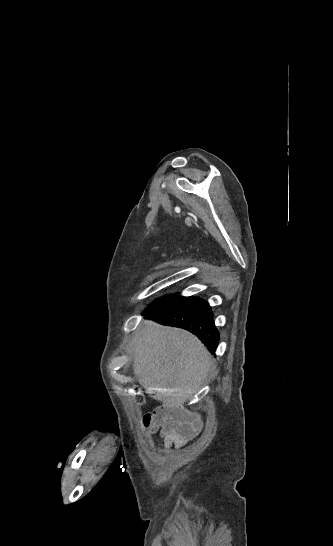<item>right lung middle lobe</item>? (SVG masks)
<instances>
[{
    "instance_id": "dd1d6c3e",
    "label": "right lung middle lobe",
    "mask_w": 333,
    "mask_h": 546,
    "mask_svg": "<svg viewBox=\"0 0 333 546\" xmlns=\"http://www.w3.org/2000/svg\"><path fill=\"white\" fill-rule=\"evenodd\" d=\"M180 298V296L178 294H173V295H166L162 298H159L158 300L154 301L153 303H151L147 308H146V311H149L161 304H164L166 302H171V301H174L176 299Z\"/></svg>"
}]
</instances>
